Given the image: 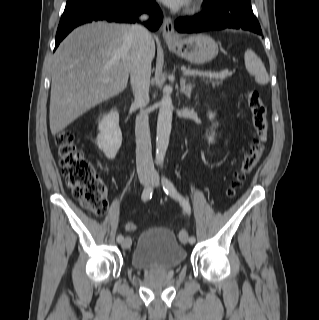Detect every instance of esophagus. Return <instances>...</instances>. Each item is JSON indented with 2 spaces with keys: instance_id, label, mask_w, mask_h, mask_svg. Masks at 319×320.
Wrapping results in <instances>:
<instances>
[{
  "instance_id": "34e87169",
  "label": "esophagus",
  "mask_w": 319,
  "mask_h": 320,
  "mask_svg": "<svg viewBox=\"0 0 319 320\" xmlns=\"http://www.w3.org/2000/svg\"><path fill=\"white\" fill-rule=\"evenodd\" d=\"M162 34L165 41H172L178 37L175 31L174 23L170 17H165L164 19Z\"/></svg>"
}]
</instances>
